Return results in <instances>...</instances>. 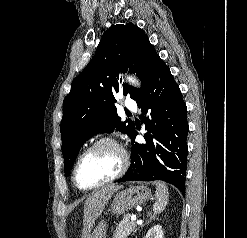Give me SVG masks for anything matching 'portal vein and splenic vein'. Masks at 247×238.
<instances>
[{
	"label": "portal vein and splenic vein",
	"instance_id": "obj_1",
	"mask_svg": "<svg viewBox=\"0 0 247 238\" xmlns=\"http://www.w3.org/2000/svg\"><path fill=\"white\" fill-rule=\"evenodd\" d=\"M132 223H136L135 220H132ZM139 224V222H137Z\"/></svg>",
	"mask_w": 247,
	"mask_h": 238
}]
</instances>
